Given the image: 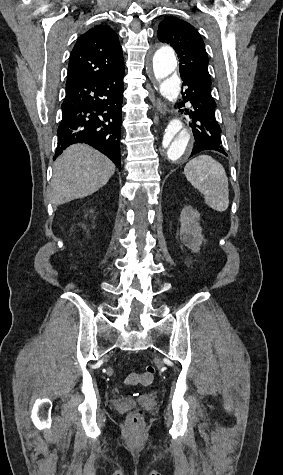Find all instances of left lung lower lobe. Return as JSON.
<instances>
[{
    "label": "left lung lower lobe",
    "mask_w": 283,
    "mask_h": 475,
    "mask_svg": "<svg viewBox=\"0 0 283 475\" xmlns=\"http://www.w3.org/2000/svg\"><path fill=\"white\" fill-rule=\"evenodd\" d=\"M180 75L186 86L182 92V103L189 102L192 105V110L187 111L192 119L189 126L195 139L191 155L203 150H215L227 155L221 142V129L215 118L216 103L211 96V80L194 73Z\"/></svg>",
    "instance_id": "0a47b994"
}]
</instances>
